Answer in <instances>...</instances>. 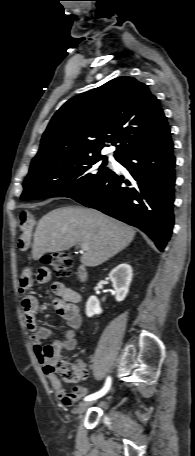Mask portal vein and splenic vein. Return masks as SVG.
<instances>
[{
    "mask_svg": "<svg viewBox=\"0 0 195 456\" xmlns=\"http://www.w3.org/2000/svg\"><path fill=\"white\" fill-rule=\"evenodd\" d=\"M81 249H82V250H85L86 247H85L84 245H81Z\"/></svg>",
    "mask_w": 195,
    "mask_h": 456,
    "instance_id": "1",
    "label": "portal vein and splenic vein"
}]
</instances>
